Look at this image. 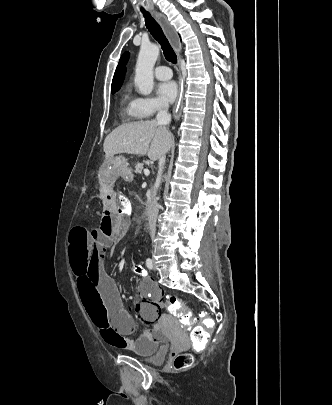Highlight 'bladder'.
<instances>
[{
  "instance_id": "obj_1",
  "label": "bladder",
  "mask_w": 332,
  "mask_h": 405,
  "mask_svg": "<svg viewBox=\"0 0 332 405\" xmlns=\"http://www.w3.org/2000/svg\"><path fill=\"white\" fill-rule=\"evenodd\" d=\"M163 340L160 343H155L152 346V350L150 352H145L141 350H133L132 353L136 356L146 358L153 364H162L165 361L166 354H167V337L165 335L162 336Z\"/></svg>"
}]
</instances>
